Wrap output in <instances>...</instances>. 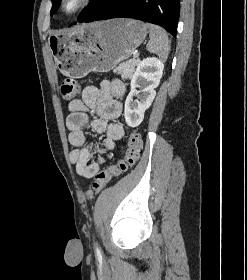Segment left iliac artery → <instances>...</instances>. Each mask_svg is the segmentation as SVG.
<instances>
[{
    "label": "left iliac artery",
    "instance_id": "obj_1",
    "mask_svg": "<svg viewBox=\"0 0 247 280\" xmlns=\"http://www.w3.org/2000/svg\"><path fill=\"white\" fill-rule=\"evenodd\" d=\"M96 250L99 251V248H98L97 244H96Z\"/></svg>",
    "mask_w": 247,
    "mask_h": 280
}]
</instances>
